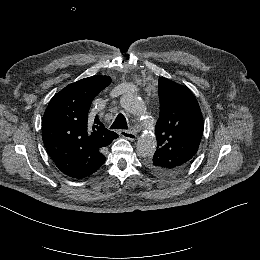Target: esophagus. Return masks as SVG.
<instances>
[{"instance_id": "1", "label": "esophagus", "mask_w": 260, "mask_h": 260, "mask_svg": "<svg viewBox=\"0 0 260 260\" xmlns=\"http://www.w3.org/2000/svg\"><path fill=\"white\" fill-rule=\"evenodd\" d=\"M119 133L122 137H124L126 139H129V140H135L136 139V135L131 131L122 130Z\"/></svg>"}]
</instances>
